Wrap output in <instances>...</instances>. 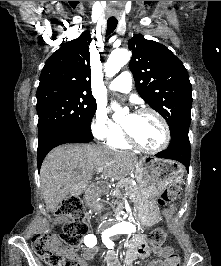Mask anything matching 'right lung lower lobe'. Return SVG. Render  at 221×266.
Masks as SVG:
<instances>
[{
  "mask_svg": "<svg viewBox=\"0 0 221 266\" xmlns=\"http://www.w3.org/2000/svg\"><path fill=\"white\" fill-rule=\"evenodd\" d=\"M93 140L92 134H85L77 130H63L49 136L47 139L38 143L37 160L38 170L47 155L54 147L64 143H88Z\"/></svg>",
  "mask_w": 221,
  "mask_h": 266,
  "instance_id": "obj_1",
  "label": "right lung lower lobe"
}]
</instances>
